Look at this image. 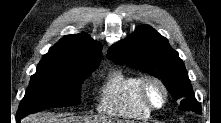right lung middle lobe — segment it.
Masks as SVG:
<instances>
[{
	"instance_id": "obj_1",
	"label": "right lung middle lobe",
	"mask_w": 221,
	"mask_h": 123,
	"mask_svg": "<svg viewBox=\"0 0 221 123\" xmlns=\"http://www.w3.org/2000/svg\"><path fill=\"white\" fill-rule=\"evenodd\" d=\"M64 62H40L31 77L17 113L28 115L49 107H62L80 101L81 85L98 68Z\"/></svg>"
}]
</instances>
